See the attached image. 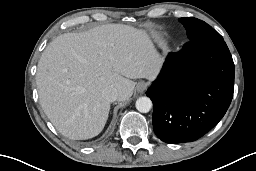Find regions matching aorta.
I'll return each instance as SVG.
<instances>
[{
	"label": "aorta",
	"mask_w": 256,
	"mask_h": 171,
	"mask_svg": "<svg viewBox=\"0 0 256 171\" xmlns=\"http://www.w3.org/2000/svg\"><path fill=\"white\" fill-rule=\"evenodd\" d=\"M152 108V101L149 97H140L136 101V109L141 113H147Z\"/></svg>",
	"instance_id": "1"
}]
</instances>
